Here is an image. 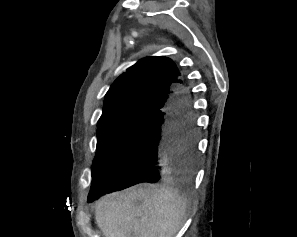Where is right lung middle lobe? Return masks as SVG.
Masks as SVG:
<instances>
[{
  "instance_id": "right-lung-middle-lobe-1",
  "label": "right lung middle lobe",
  "mask_w": 297,
  "mask_h": 237,
  "mask_svg": "<svg viewBox=\"0 0 297 237\" xmlns=\"http://www.w3.org/2000/svg\"><path fill=\"white\" fill-rule=\"evenodd\" d=\"M149 119V115H132L98 126L97 150L88 197L115 183L119 168L146 128Z\"/></svg>"
}]
</instances>
